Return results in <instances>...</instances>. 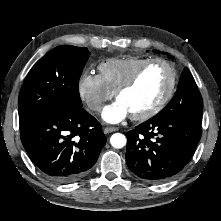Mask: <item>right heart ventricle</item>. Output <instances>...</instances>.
<instances>
[{"mask_svg": "<svg viewBox=\"0 0 221 221\" xmlns=\"http://www.w3.org/2000/svg\"><path fill=\"white\" fill-rule=\"evenodd\" d=\"M146 60V58L140 57L111 58L105 60L98 66L99 76L104 84L114 93Z\"/></svg>", "mask_w": 221, "mask_h": 221, "instance_id": "1", "label": "right heart ventricle"}]
</instances>
